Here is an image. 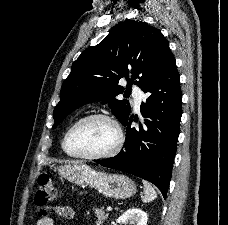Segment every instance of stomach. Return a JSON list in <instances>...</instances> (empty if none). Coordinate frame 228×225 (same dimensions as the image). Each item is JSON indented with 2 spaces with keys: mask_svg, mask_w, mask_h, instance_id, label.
<instances>
[{
  "mask_svg": "<svg viewBox=\"0 0 228 225\" xmlns=\"http://www.w3.org/2000/svg\"><path fill=\"white\" fill-rule=\"evenodd\" d=\"M58 171L59 175L68 177L69 181H73L75 185L92 187L104 197H111V199H129L136 193L135 183L125 175H112V173L95 171L89 165H85L83 161L72 163L68 167H60Z\"/></svg>",
  "mask_w": 228,
  "mask_h": 225,
  "instance_id": "0dacf381",
  "label": "stomach"
}]
</instances>
